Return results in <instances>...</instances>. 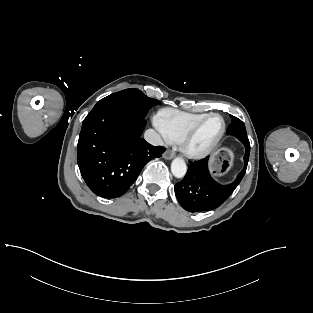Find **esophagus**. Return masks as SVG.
Here are the masks:
<instances>
[{"label": "esophagus", "instance_id": "esophagus-1", "mask_svg": "<svg viewBox=\"0 0 313 313\" xmlns=\"http://www.w3.org/2000/svg\"><path fill=\"white\" fill-rule=\"evenodd\" d=\"M175 156V154L170 151V150H167L164 154H163V158L166 159V160H170L172 159L173 157Z\"/></svg>", "mask_w": 313, "mask_h": 313}]
</instances>
